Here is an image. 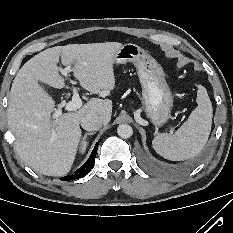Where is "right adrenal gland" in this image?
Wrapping results in <instances>:
<instances>
[{
	"instance_id": "obj_1",
	"label": "right adrenal gland",
	"mask_w": 233,
	"mask_h": 233,
	"mask_svg": "<svg viewBox=\"0 0 233 233\" xmlns=\"http://www.w3.org/2000/svg\"><path fill=\"white\" fill-rule=\"evenodd\" d=\"M88 135H93V132H88L83 136V138H82V140L80 142V145H79L80 151L82 153H84L86 151V148H87V145H88V142L86 141V138H87Z\"/></svg>"
}]
</instances>
